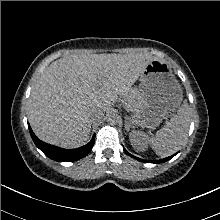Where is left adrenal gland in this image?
Returning a JSON list of instances; mask_svg holds the SVG:
<instances>
[{"label": "left adrenal gland", "mask_w": 220, "mask_h": 220, "mask_svg": "<svg viewBox=\"0 0 220 220\" xmlns=\"http://www.w3.org/2000/svg\"><path fill=\"white\" fill-rule=\"evenodd\" d=\"M129 127L130 125H129L128 117H125V129L127 132L129 131Z\"/></svg>", "instance_id": "left-adrenal-gland-1"}]
</instances>
